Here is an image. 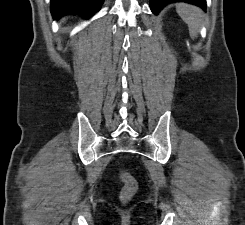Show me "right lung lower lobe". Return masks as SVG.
<instances>
[{
  "instance_id": "obj_1",
  "label": "right lung lower lobe",
  "mask_w": 245,
  "mask_h": 225,
  "mask_svg": "<svg viewBox=\"0 0 245 225\" xmlns=\"http://www.w3.org/2000/svg\"><path fill=\"white\" fill-rule=\"evenodd\" d=\"M104 0H51V13L54 18L67 14H78L89 18L100 9Z\"/></svg>"
}]
</instances>
